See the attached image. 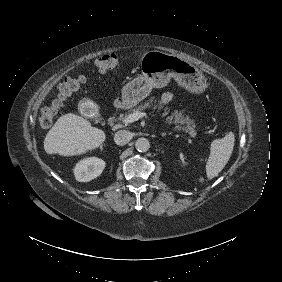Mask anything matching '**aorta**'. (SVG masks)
Listing matches in <instances>:
<instances>
[{
	"label": "aorta",
	"mask_w": 282,
	"mask_h": 282,
	"mask_svg": "<svg viewBox=\"0 0 282 282\" xmlns=\"http://www.w3.org/2000/svg\"><path fill=\"white\" fill-rule=\"evenodd\" d=\"M135 148L139 152H147L150 148V142L146 138H138L135 142Z\"/></svg>",
	"instance_id": "obj_1"
}]
</instances>
